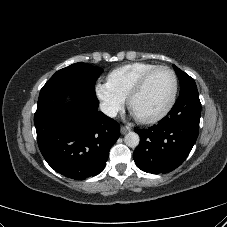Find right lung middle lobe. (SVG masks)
Returning <instances> with one entry per match:
<instances>
[{
  "label": "right lung middle lobe",
  "instance_id": "right-lung-middle-lobe-1",
  "mask_svg": "<svg viewBox=\"0 0 227 227\" xmlns=\"http://www.w3.org/2000/svg\"><path fill=\"white\" fill-rule=\"evenodd\" d=\"M103 69L85 63H75L57 71L44 85L69 84L96 96L95 83Z\"/></svg>",
  "mask_w": 227,
  "mask_h": 227
}]
</instances>
